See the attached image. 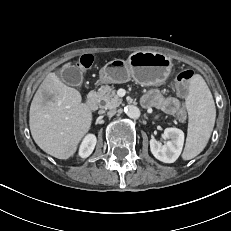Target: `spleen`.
I'll return each instance as SVG.
<instances>
[{"label": "spleen", "instance_id": "spleen-1", "mask_svg": "<svg viewBox=\"0 0 231 231\" xmlns=\"http://www.w3.org/2000/svg\"><path fill=\"white\" fill-rule=\"evenodd\" d=\"M186 107L189 121L182 158L190 160L200 154L207 145L216 118L212 94L199 74L191 79Z\"/></svg>", "mask_w": 231, "mask_h": 231}]
</instances>
